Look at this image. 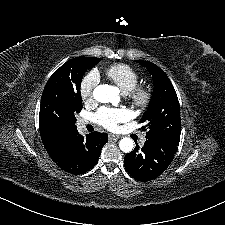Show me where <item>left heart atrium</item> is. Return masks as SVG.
Segmentation results:
<instances>
[{
	"label": "left heart atrium",
	"instance_id": "obj_1",
	"mask_svg": "<svg viewBox=\"0 0 225 225\" xmlns=\"http://www.w3.org/2000/svg\"><path fill=\"white\" fill-rule=\"evenodd\" d=\"M130 113L124 108L102 107L95 115V120L104 128L114 131L119 128V124L128 121Z\"/></svg>",
	"mask_w": 225,
	"mask_h": 225
}]
</instances>
